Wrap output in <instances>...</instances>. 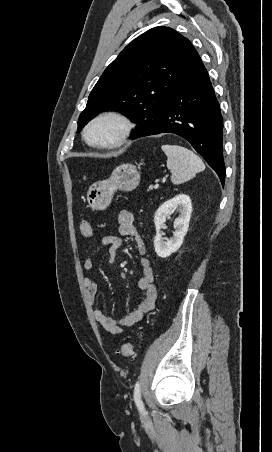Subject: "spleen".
<instances>
[{"mask_svg":"<svg viewBox=\"0 0 272 452\" xmlns=\"http://www.w3.org/2000/svg\"><path fill=\"white\" fill-rule=\"evenodd\" d=\"M161 149L167 156V168L172 173L171 181L175 185L187 182L205 169L201 158L187 148L164 144Z\"/></svg>","mask_w":272,"mask_h":452,"instance_id":"obj_1","label":"spleen"}]
</instances>
